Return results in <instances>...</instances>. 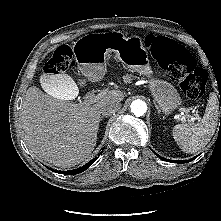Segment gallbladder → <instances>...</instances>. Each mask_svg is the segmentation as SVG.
Masks as SVG:
<instances>
[{
  "instance_id": "gallbladder-1",
  "label": "gallbladder",
  "mask_w": 221,
  "mask_h": 221,
  "mask_svg": "<svg viewBox=\"0 0 221 221\" xmlns=\"http://www.w3.org/2000/svg\"><path fill=\"white\" fill-rule=\"evenodd\" d=\"M44 89L57 99L70 100L78 92V87L74 81L67 78L64 74L50 72L42 80Z\"/></svg>"
}]
</instances>
